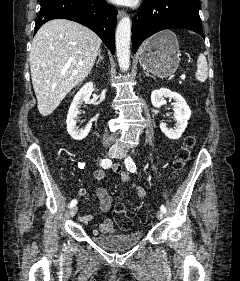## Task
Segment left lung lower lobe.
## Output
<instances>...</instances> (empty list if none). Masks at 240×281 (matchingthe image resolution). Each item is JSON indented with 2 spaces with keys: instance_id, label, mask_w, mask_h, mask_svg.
Here are the masks:
<instances>
[{
  "instance_id": "left-lung-lower-lobe-1",
  "label": "left lung lower lobe",
  "mask_w": 240,
  "mask_h": 281,
  "mask_svg": "<svg viewBox=\"0 0 240 281\" xmlns=\"http://www.w3.org/2000/svg\"><path fill=\"white\" fill-rule=\"evenodd\" d=\"M171 28L192 30L203 38L198 0H143L132 21V49L151 35Z\"/></svg>"
}]
</instances>
